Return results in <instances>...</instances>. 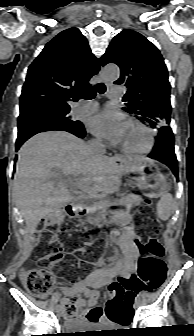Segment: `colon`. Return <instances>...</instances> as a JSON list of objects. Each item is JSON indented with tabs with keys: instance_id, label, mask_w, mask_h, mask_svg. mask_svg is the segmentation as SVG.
Returning a JSON list of instances; mask_svg holds the SVG:
<instances>
[{
	"instance_id": "obj_1",
	"label": "colon",
	"mask_w": 194,
	"mask_h": 336,
	"mask_svg": "<svg viewBox=\"0 0 194 336\" xmlns=\"http://www.w3.org/2000/svg\"><path fill=\"white\" fill-rule=\"evenodd\" d=\"M152 201L144 199L143 208L137 216V227L141 234L136 240L139 258L138 269L135 279L114 281L109 285V290L114 298L132 295L130 286L138 283L149 289L158 288L165 279L167 263L162 260L164 249L155 239L161 232L160 222L151 215ZM71 226L65 221V214L61 211L55 212L42 221L37 230L40 243V258L52 259L58 262L63 257L66 243V251L69 253H80L86 260L95 258L101 247V242L81 243L71 240ZM22 286L36 298H46L55 281V275L47 267L24 269L19 275ZM79 303L77 296H71L64 300V308L68 314H73ZM100 309V308H99ZM101 311V309H100ZM108 316L115 318V310L112 303L107 308ZM117 321V320H116Z\"/></svg>"
}]
</instances>
